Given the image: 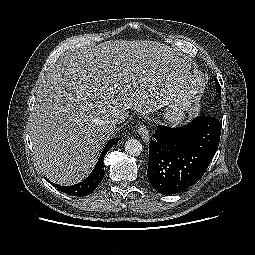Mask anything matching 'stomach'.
I'll return each instance as SVG.
<instances>
[{"instance_id": "stomach-1", "label": "stomach", "mask_w": 255, "mask_h": 255, "mask_svg": "<svg viewBox=\"0 0 255 255\" xmlns=\"http://www.w3.org/2000/svg\"><path fill=\"white\" fill-rule=\"evenodd\" d=\"M184 117L185 112L182 106L176 102L169 104L164 113V119L169 123H180Z\"/></svg>"}]
</instances>
